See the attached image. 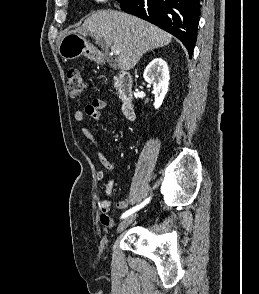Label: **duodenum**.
<instances>
[{
    "instance_id": "410a0bca",
    "label": "duodenum",
    "mask_w": 259,
    "mask_h": 294,
    "mask_svg": "<svg viewBox=\"0 0 259 294\" xmlns=\"http://www.w3.org/2000/svg\"><path fill=\"white\" fill-rule=\"evenodd\" d=\"M116 84L118 97L122 103V110L124 115L129 119H134V92L131 74L126 71H120L116 75Z\"/></svg>"
}]
</instances>
